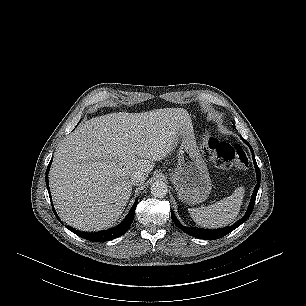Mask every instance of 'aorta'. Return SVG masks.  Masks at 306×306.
Wrapping results in <instances>:
<instances>
[{"mask_svg": "<svg viewBox=\"0 0 306 306\" xmlns=\"http://www.w3.org/2000/svg\"><path fill=\"white\" fill-rule=\"evenodd\" d=\"M168 192L167 184L163 181H155L151 185V194L156 198H163Z\"/></svg>", "mask_w": 306, "mask_h": 306, "instance_id": "obj_1", "label": "aorta"}]
</instances>
